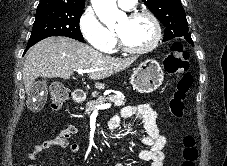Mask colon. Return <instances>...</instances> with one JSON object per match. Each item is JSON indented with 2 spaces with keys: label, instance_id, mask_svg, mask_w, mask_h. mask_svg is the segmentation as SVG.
<instances>
[{
  "label": "colon",
  "instance_id": "obj_1",
  "mask_svg": "<svg viewBox=\"0 0 227 166\" xmlns=\"http://www.w3.org/2000/svg\"><path fill=\"white\" fill-rule=\"evenodd\" d=\"M166 71L169 74H179L181 77L169 101L170 113L178 118L183 117L185 111V99L193 84V75L189 71V53L181 43H174L165 62ZM68 90L59 84L50 86V103L53 109H60L68 99ZM183 161L181 166H196L198 150L195 139L185 136L183 139Z\"/></svg>",
  "mask_w": 227,
  "mask_h": 166
}]
</instances>
